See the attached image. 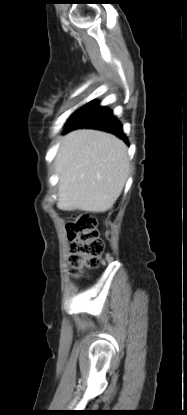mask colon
<instances>
[{
	"label": "colon",
	"instance_id": "colon-1",
	"mask_svg": "<svg viewBox=\"0 0 187 415\" xmlns=\"http://www.w3.org/2000/svg\"><path fill=\"white\" fill-rule=\"evenodd\" d=\"M70 240V268L79 275L85 268H94L104 251V242L97 230V221L92 214L83 213L67 224Z\"/></svg>",
	"mask_w": 187,
	"mask_h": 415
}]
</instances>
